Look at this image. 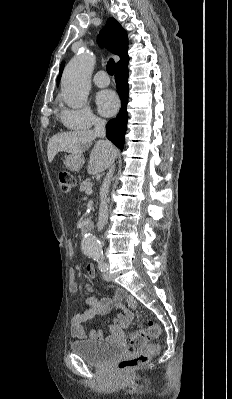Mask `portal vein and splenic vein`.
<instances>
[{"label":"portal vein and splenic vein","mask_w":232,"mask_h":399,"mask_svg":"<svg viewBox=\"0 0 232 399\" xmlns=\"http://www.w3.org/2000/svg\"><path fill=\"white\" fill-rule=\"evenodd\" d=\"M92 192H93V190H86L87 196H91Z\"/></svg>","instance_id":"1"}]
</instances>
